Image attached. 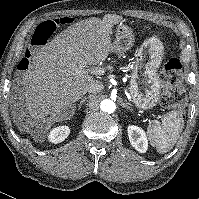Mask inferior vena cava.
<instances>
[{"label":"inferior vena cava","mask_w":199,"mask_h":199,"mask_svg":"<svg viewBox=\"0 0 199 199\" xmlns=\"http://www.w3.org/2000/svg\"><path fill=\"white\" fill-rule=\"evenodd\" d=\"M103 89V84L99 81H95L93 83H91L88 88H87V92L89 93H98Z\"/></svg>","instance_id":"inferior-vena-cava-1"}]
</instances>
